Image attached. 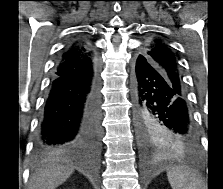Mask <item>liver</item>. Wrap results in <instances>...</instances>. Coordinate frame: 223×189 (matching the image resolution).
Wrapping results in <instances>:
<instances>
[{
	"instance_id": "6515ba94",
	"label": "liver",
	"mask_w": 223,
	"mask_h": 189,
	"mask_svg": "<svg viewBox=\"0 0 223 189\" xmlns=\"http://www.w3.org/2000/svg\"><path fill=\"white\" fill-rule=\"evenodd\" d=\"M73 173L69 166H51L34 173L30 179L29 189H55L65 182Z\"/></svg>"
}]
</instances>
